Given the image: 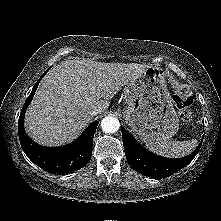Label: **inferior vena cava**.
I'll use <instances>...</instances> for the list:
<instances>
[{"label": "inferior vena cava", "instance_id": "602c4592", "mask_svg": "<svg viewBox=\"0 0 221 221\" xmlns=\"http://www.w3.org/2000/svg\"><path fill=\"white\" fill-rule=\"evenodd\" d=\"M100 113V109H98L97 107H94L91 111H90V115H97Z\"/></svg>", "mask_w": 221, "mask_h": 221}]
</instances>
